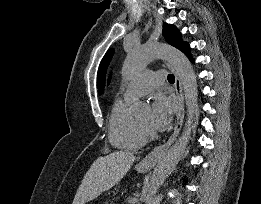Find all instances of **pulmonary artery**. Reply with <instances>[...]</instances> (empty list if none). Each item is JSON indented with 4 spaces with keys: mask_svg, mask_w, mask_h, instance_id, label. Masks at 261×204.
Wrapping results in <instances>:
<instances>
[{
    "mask_svg": "<svg viewBox=\"0 0 261 204\" xmlns=\"http://www.w3.org/2000/svg\"><path fill=\"white\" fill-rule=\"evenodd\" d=\"M165 80L163 71H145L139 74L127 87L124 98L136 99Z\"/></svg>",
    "mask_w": 261,
    "mask_h": 204,
    "instance_id": "1",
    "label": "pulmonary artery"
}]
</instances>
